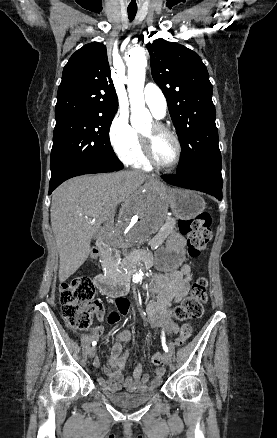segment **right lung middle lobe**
Here are the masks:
<instances>
[{
  "instance_id": "1",
  "label": "right lung middle lobe",
  "mask_w": 277,
  "mask_h": 438,
  "mask_svg": "<svg viewBox=\"0 0 277 438\" xmlns=\"http://www.w3.org/2000/svg\"><path fill=\"white\" fill-rule=\"evenodd\" d=\"M51 151V178L65 170L96 163H121L109 140L113 116H56Z\"/></svg>"
}]
</instances>
